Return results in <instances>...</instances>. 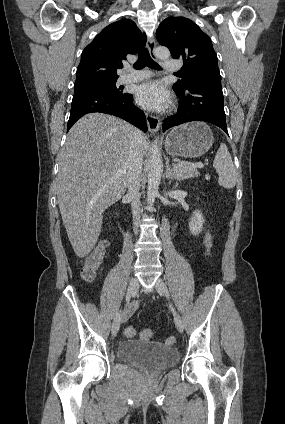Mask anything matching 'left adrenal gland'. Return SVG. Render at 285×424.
Listing matches in <instances>:
<instances>
[{"label": "left adrenal gland", "instance_id": "a2214340", "mask_svg": "<svg viewBox=\"0 0 285 424\" xmlns=\"http://www.w3.org/2000/svg\"><path fill=\"white\" fill-rule=\"evenodd\" d=\"M166 178L167 179H172L173 178V169L169 166V159H166V172H165Z\"/></svg>", "mask_w": 285, "mask_h": 424}]
</instances>
